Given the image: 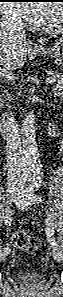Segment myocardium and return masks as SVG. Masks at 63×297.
Wrapping results in <instances>:
<instances>
[{"label":"myocardium","instance_id":"obj_1","mask_svg":"<svg viewBox=\"0 0 63 297\" xmlns=\"http://www.w3.org/2000/svg\"><path fill=\"white\" fill-rule=\"evenodd\" d=\"M60 20L57 25H45L40 22H33V26L45 33H60L63 29V7L59 5Z\"/></svg>","mask_w":63,"mask_h":297}]
</instances>
